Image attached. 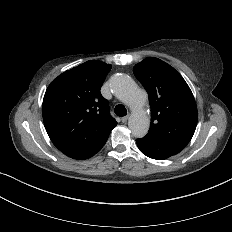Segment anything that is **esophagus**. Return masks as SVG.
I'll return each instance as SVG.
<instances>
[{
	"mask_svg": "<svg viewBox=\"0 0 232 232\" xmlns=\"http://www.w3.org/2000/svg\"><path fill=\"white\" fill-rule=\"evenodd\" d=\"M128 118H129V115H126V116L122 117L121 118L122 123L126 124Z\"/></svg>",
	"mask_w": 232,
	"mask_h": 232,
	"instance_id": "obj_1",
	"label": "esophagus"
}]
</instances>
